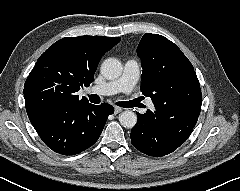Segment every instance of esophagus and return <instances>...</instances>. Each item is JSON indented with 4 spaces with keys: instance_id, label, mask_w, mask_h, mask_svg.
<instances>
[{
    "instance_id": "esophagus-1",
    "label": "esophagus",
    "mask_w": 240,
    "mask_h": 191,
    "mask_svg": "<svg viewBox=\"0 0 240 191\" xmlns=\"http://www.w3.org/2000/svg\"><path fill=\"white\" fill-rule=\"evenodd\" d=\"M122 110H123L122 108L115 106L114 107V114H118V113L122 112Z\"/></svg>"
}]
</instances>
